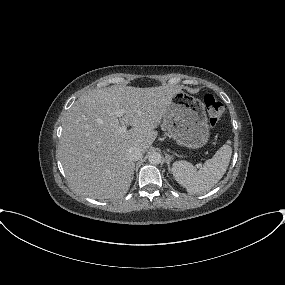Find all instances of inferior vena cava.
Instances as JSON below:
<instances>
[{"label":"inferior vena cava","instance_id":"obj_1","mask_svg":"<svg viewBox=\"0 0 285 285\" xmlns=\"http://www.w3.org/2000/svg\"><path fill=\"white\" fill-rule=\"evenodd\" d=\"M127 155L130 160L137 161L143 157V151L141 148L133 146L127 150Z\"/></svg>","mask_w":285,"mask_h":285}]
</instances>
